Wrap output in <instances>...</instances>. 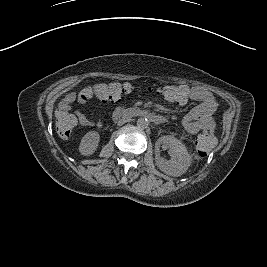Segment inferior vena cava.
Segmentation results:
<instances>
[{
	"instance_id": "inferior-vena-cava-1",
	"label": "inferior vena cava",
	"mask_w": 267,
	"mask_h": 267,
	"mask_svg": "<svg viewBox=\"0 0 267 267\" xmlns=\"http://www.w3.org/2000/svg\"><path fill=\"white\" fill-rule=\"evenodd\" d=\"M129 121H130L129 118L122 119V120H120V121L118 122V125H123L124 123L129 122Z\"/></svg>"
}]
</instances>
